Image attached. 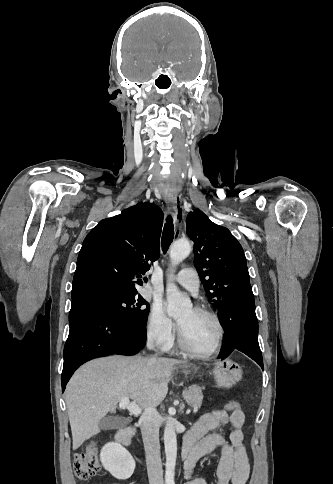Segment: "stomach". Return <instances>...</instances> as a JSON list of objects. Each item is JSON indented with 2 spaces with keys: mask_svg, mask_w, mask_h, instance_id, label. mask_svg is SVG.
I'll return each mask as SVG.
<instances>
[{
  "mask_svg": "<svg viewBox=\"0 0 333 484\" xmlns=\"http://www.w3.org/2000/svg\"><path fill=\"white\" fill-rule=\"evenodd\" d=\"M199 368L192 366H181V371L186 376L197 373ZM211 374L214 377L216 386L229 389L234 386L242 377V369L238 363L231 359H225L214 363Z\"/></svg>",
  "mask_w": 333,
  "mask_h": 484,
  "instance_id": "obj_1",
  "label": "stomach"
}]
</instances>
